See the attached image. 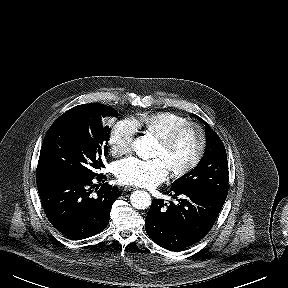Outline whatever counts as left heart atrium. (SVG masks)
Masks as SVG:
<instances>
[{
  "label": "left heart atrium",
  "instance_id": "left-heart-atrium-1",
  "mask_svg": "<svg viewBox=\"0 0 288 288\" xmlns=\"http://www.w3.org/2000/svg\"><path fill=\"white\" fill-rule=\"evenodd\" d=\"M115 172L123 184L153 187L167 178L169 169L161 157L152 159L129 157L116 164Z\"/></svg>",
  "mask_w": 288,
  "mask_h": 288
}]
</instances>
